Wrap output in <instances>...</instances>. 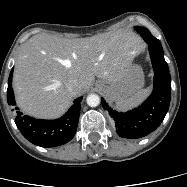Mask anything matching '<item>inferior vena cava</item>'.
Wrapping results in <instances>:
<instances>
[{"label":"inferior vena cava","mask_w":187,"mask_h":187,"mask_svg":"<svg viewBox=\"0 0 187 187\" xmlns=\"http://www.w3.org/2000/svg\"><path fill=\"white\" fill-rule=\"evenodd\" d=\"M79 89V84L76 80H72L69 85H68V90L72 93V94H76L78 92Z\"/></svg>","instance_id":"obj_1"}]
</instances>
